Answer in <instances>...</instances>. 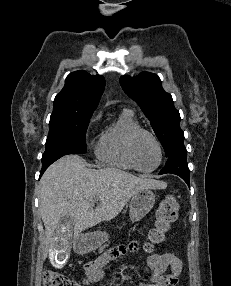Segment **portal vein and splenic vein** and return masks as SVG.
<instances>
[{"mask_svg": "<svg viewBox=\"0 0 231 286\" xmlns=\"http://www.w3.org/2000/svg\"><path fill=\"white\" fill-rule=\"evenodd\" d=\"M98 200H94L93 204L96 203Z\"/></svg>", "mask_w": 231, "mask_h": 286, "instance_id": "18ae733b", "label": "portal vein and splenic vein"}]
</instances>
